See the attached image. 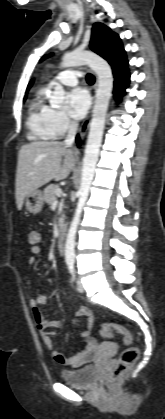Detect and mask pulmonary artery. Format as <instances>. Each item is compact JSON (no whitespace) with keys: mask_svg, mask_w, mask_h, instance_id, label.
Masks as SVG:
<instances>
[{"mask_svg":"<svg viewBox=\"0 0 165 419\" xmlns=\"http://www.w3.org/2000/svg\"><path fill=\"white\" fill-rule=\"evenodd\" d=\"M80 77H82L80 72L70 69L57 74L53 80L66 86H74Z\"/></svg>","mask_w":165,"mask_h":419,"instance_id":"obj_1","label":"pulmonary artery"}]
</instances>
